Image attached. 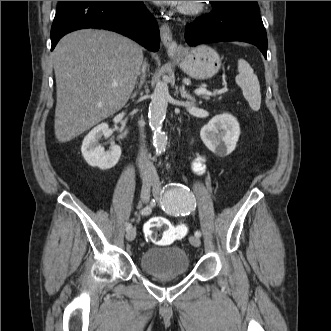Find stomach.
Masks as SVG:
<instances>
[{
    "label": "stomach",
    "mask_w": 331,
    "mask_h": 331,
    "mask_svg": "<svg viewBox=\"0 0 331 331\" xmlns=\"http://www.w3.org/2000/svg\"><path fill=\"white\" fill-rule=\"evenodd\" d=\"M175 59L188 76L197 80L211 78L221 67L219 54L208 45L183 49Z\"/></svg>",
    "instance_id": "1"
}]
</instances>
